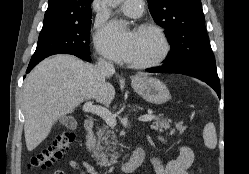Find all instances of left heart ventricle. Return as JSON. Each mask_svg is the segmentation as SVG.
Returning <instances> with one entry per match:
<instances>
[{"label": "left heart ventricle", "mask_w": 249, "mask_h": 174, "mask_svg": "<svg viewBox=\"0 0 249 174\" xmlns=\"http://www.w3.org/2000/svg\"><path fill=\"white\" fill-rule=\"evenodd\" d=\"M159 37L151 31L133 32V45L129 60L142 62L155 58L162 51Z\"/></svg>", "instance_id": "left-heart-ventricle-1"}]
</instances>
